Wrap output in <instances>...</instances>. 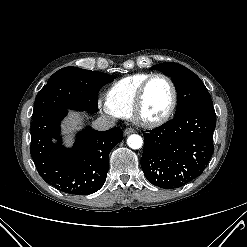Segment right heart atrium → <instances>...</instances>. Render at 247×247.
I'll return each instance as SVG.
<instances>
[{"label": "right heart atrium", "mask_w": 247, "mask_h": 247, "mask_svg": "<svg viewBox=\"0 0 247 247\" xmlns=\"http://www.w3.org/2000/svg\"><path fill=\"white\" fill-rule=\"evenodd\" d=\"M100 106L106 114L113 116V117H117V114L109 107L107 102H100Z\"/></svg>", "instance_id": "1"}]
</instances>
